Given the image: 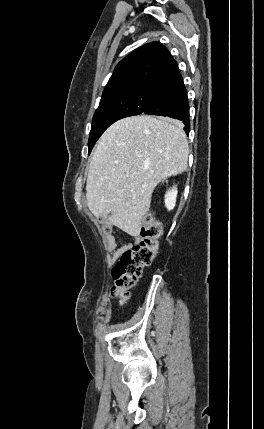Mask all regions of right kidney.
Returning a JSON list of instances; mask_svg holds the SVG:
<instances>
[{
    "mask_svg": "<svg viewBox=\"0 0 264 429\" xmlns=\"http://www.w3.org/2000/svg\"><path fill=\"white\" fill-rule=\"evenodd\" d=\"M177 187L173 186L171 189H169L165 194V206L168 211L173 210L176 204V198H177Z\"/></svg>",
    "mask_w": 264,
    "mask_h": 429,
    "instance_id": "obj_1",
    "label": "right kidney"
}]
</instances>
